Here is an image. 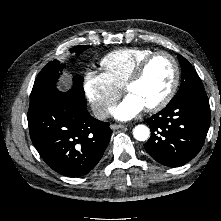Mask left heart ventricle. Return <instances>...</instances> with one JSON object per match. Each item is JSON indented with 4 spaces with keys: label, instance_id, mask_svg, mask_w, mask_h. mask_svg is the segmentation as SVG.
Returning a JSON list of instances; mask_svg holds the SVG:
<instances>
[{
    "label": "left heart ventricle",
    "instance_id": "b2bd125f",
    "mask_svg": "<svg viewBox=\"0 0 221 221\" xmlns=\"http://www.w3.org/2000/svg\"><path fill=\"white\" fill-rule=\"evenodd\" d=\"M173 65L169 58L160 55L147 66L143 77L127 90L135 95L145 107L160 101L169 90L173 80Z\"/></svg>",
    "mask_w": 221,
    "mask_h": 221
}]
</instances>
